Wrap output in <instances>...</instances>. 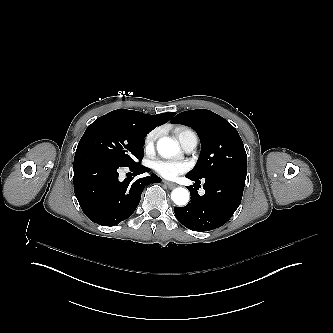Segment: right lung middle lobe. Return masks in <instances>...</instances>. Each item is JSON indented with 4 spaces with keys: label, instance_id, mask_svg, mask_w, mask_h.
I'll return each instance as SVG.
<instances>
[{
    "label": "right lung middle lobe",
    "instance_id": "right-lung-middle-lobe-1",
    "mask_svg": "<svg viewBox=\"0 0 333 333\" xmlns=\"http://www.w3.org/2000/svg\"><path fill=\"white\" fill-rule=\"evenodd\" d=\"M148 132L129 120L104 115L87 127L77 150L95 151L122 167L137 166Z\"/></svg>",
    "mask_w": 333,
    "mask_h": 333
}]
</instances>
